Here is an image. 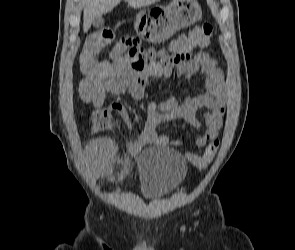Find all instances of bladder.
Segmentation results:
<instances>
[{"label": "bladder", "mask_w": 295, "mask_h": 250, "mask_svg": "<svg viewBox=\"0 0 295 250\" xmlns=\"http://www.w3.org/2000/svg\"><path fill=\"white\" fill-rule=\"evenodd\" d=\"M141 191L149 200H158L175 189L186 176L187 165L177 151L164 147L146 149L137 160Z\"/></svg>", "instance_id": "1"}]
</instances>
